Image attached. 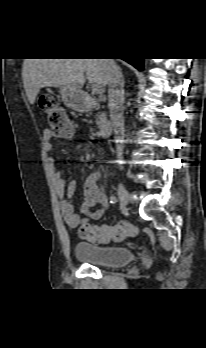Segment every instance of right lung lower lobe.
Instances as JSON below:
<instances>
[{"label": "right lung lower lobe", "instance_id": "1", "mask_svg": "<svg viewBox=\"0 0 206 348\" xmlns=\"http://www.w3.org/2000/svg\"><path fill=\"white\" fill-rule=\"evenodd\" d=\"M125 61H127L128 63H130L131 65H133L135 68H137L138 70H143V59H139V58H132V59H123Z\"/></svg>", "mask_w": 206, "mask_h": 348}]
</instances>
